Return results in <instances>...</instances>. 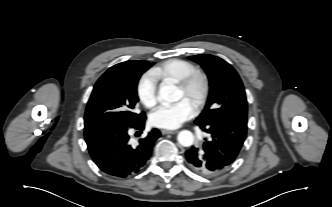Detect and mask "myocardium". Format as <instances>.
Segmentation results:
<instances>
[{
	"instance_id": "1",
	"label": "myocardium",
	"mask_w": 332,
	"mask_h": 207,
	"mask_svg": "<svg viewBox=\"0 0 332 207\" xmlns=\"http://www.w3.org/2000/svg\"><path fill=\"white\" fill-rule=\"evenodd\" d=\"M185 97L197 108L203 106L209 93V77L202 70L195 69L177 82Z\"/></svg>"
}]
</instances>
